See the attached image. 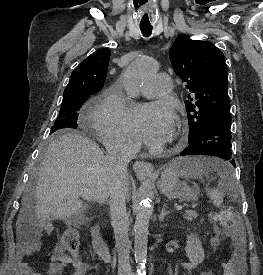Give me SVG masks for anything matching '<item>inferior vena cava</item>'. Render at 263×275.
<instances>
[{"mask_svg":"<svg viewBox=\"0 0 263 275\" xmlns=\"http://www.w3.org/2000/svg\"><path fill=\"white\" fill-rule=\"evenodd\" d=\"M135 151L127 141H116L107 146V160L113 177L110 193V216L118 252V275H132L129 262L131 243L128 236L129 219L126 211L128 193V163Z\"/></svg>","mask_w":263,"mask_h":275,"instance_id":"obj_1","label":"inferior vena cava"}]
</instances>
